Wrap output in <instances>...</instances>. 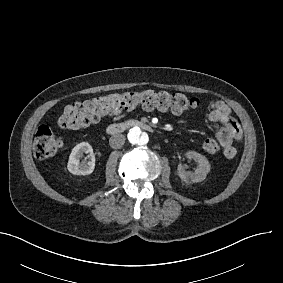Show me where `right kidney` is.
Here are the masks:
<instances>
[{
  "label": "right kidney",
  "instance_id": "ca27d5eb",
  "mask_svg": "<svg viewBox=\"0 0 283 283\" xmlns=\"http://www.w3.org/2000/svg\"><path fill=\"white\" fill-rule=\"evenodd\" d=\"M84 153H89V161L80 163V158ZM67 168L74 175H89L94 171L95 156L93 154V148L88 142H81L72 149Z\"/></svg>",
  "mask_w": 283,
  "mask_h": 283
}]
</instances>
